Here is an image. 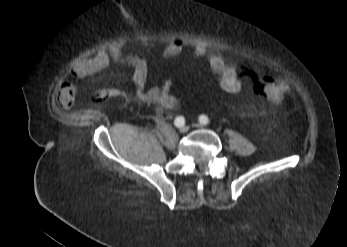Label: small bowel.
Returning a JSON list of instances; mask_svg holds the SVG:
<instances>
[{
  "instance_id": "c3829d8e",
  "label": "small bowel",
  "mask_w": 347,
  "mask_h": 247,
  "mask_svg": "<svg viewBox=\"0 0 347 247\" xmlns=\"http://www.w3.org/2000/svg\"><path fill=\"white\" fill-rule=\"evenodd\" d=\"M146 47L152 48L150 45ZM186 47L187 44L183 39H171L164 46L163 55L175 56L183 52ZM192 51L196 57H206L210 70L216 75L218 84L225 93L239 94L246 84L253 85L256 93H261L258 84H252L253 80L250 76H242L236 63L225 59L216 48L196 44L192 47ZM112 62L123 63L132 68L134 91L131 94L115 88H109L108 91L118 95L132 96L141 103L156 106L157 110L151 116L154 121L160 122L163 119L164 110H174L181 106V101L172 94L171 80L166 79L160 85L147 89L145 85L148 67L145 56L140 52L124 54L121 46L100 49L90 57L78 60L72 67V73L77 78H86L107 68ZM76 92V88L70 84L62 86L56 96L58 107L62 110L71 109Z\"/></svg>"
}]
</instances>
